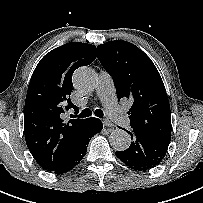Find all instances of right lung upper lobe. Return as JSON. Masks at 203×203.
Segmentation results:
<instances>
[{
    "instance_id": "1",
    "label": "right lung upper lobe",
    "mask_w": 203,
    "mask_h": 203,
    "mask_svg": "<svg viewBox=\"0 0 203 203\" xmlns=\"http://www.w3.org/2000/svg\"><path fill=\"white\" fill-rule=\"evenodd\" d=\"M96 47L70 42L47 53L36 66L27 91L24 108L26 144L45 170H56L84 129L88 119H62L66 110H78L70 101L72 74L91 64Z\"/></svg>"
}]
</instances>
